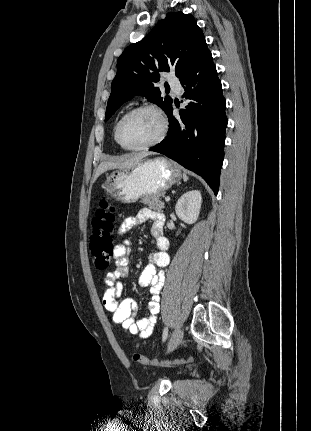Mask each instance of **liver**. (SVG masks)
<instances>
[{"label":"liver","mask_w":311,"mask_h":431,"mask_svg":"<svg viewBox=\"0 0 311 431\" xmlns=\"http://www.w3.org/2000/svg\"><path fill=\"white\" fill-rule=\"evenodd\" d=\"M147 156H152V152H138V154H128V156H121L120 160L117 162H101L99 164L95 176L94 182L107 172V170H122V168H134V166H138V164H142L144 162V158Z\"/></svg>","instance_id":"6515ba94"}]
</instances>
